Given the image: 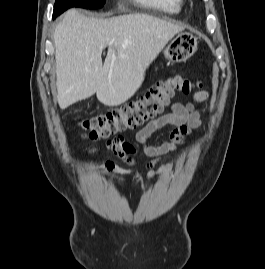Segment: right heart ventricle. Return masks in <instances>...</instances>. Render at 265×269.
I'll use <instances>...</instances> for the list:
<instances>
[{"label":"right heart ventricle","mask_w":265,"mask_h":269,"mask_svg":"<svg viewBox=\"0 0 265 269\" xmlns=\"http://www.w3.org/2000/svg\"><path fill=\"white\" fill-rule=\"evenodd\" d=\"M139 5L155 11L176 14L181 11L182 0H134Z\"/></svg>","instance_id":"obj_1"}]
</instances>
